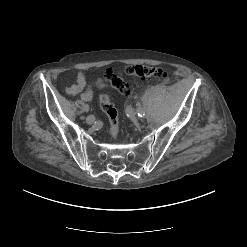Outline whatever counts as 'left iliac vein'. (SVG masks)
<instances>
[{"instance_id":"4c4485c4","label":"left iliac vein","mask_w":247,"mask_h":247,"mask_svg":"<svg viewBox=\"0 0 247 247\" xmlns=\"http://www.w3.org/2000/svg\"><path fill=\"white\" fill-rule=\"evenodd\" d=\"M131 120L135 123L137 121V116L134 112H130Z\"/></svg>"}]
</instances>
